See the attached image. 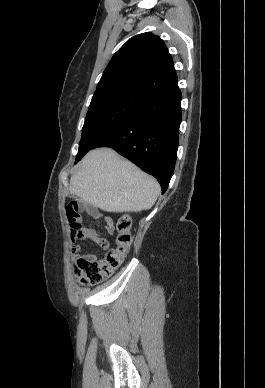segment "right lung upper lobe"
<instances>
[{
	"instance_id": "1",
	"label": "right lung upper lobe",
	"mask_w": 265,
	"mask_h": 388,
	"mask_svg": "<svg viewBox=\"0 0 265 388\" xmlns=\"http://www.w3.org/2000/svg\"><path fill=\"white\" fill-rule=\"evenodd\" d=\"M178 84L170 53L163 40L152 33L130 38L113 56L96 92H128L148 98Z\"/></svg>"
}]
</instances>
